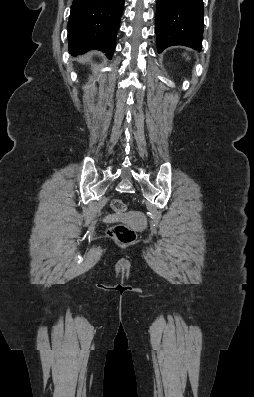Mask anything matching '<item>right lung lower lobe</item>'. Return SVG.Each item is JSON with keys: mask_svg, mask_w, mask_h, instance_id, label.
I'll return each instance as SVG.
<instances>
[{"mask_svg": "<svg viewBox=\"0 0 254 397\" xmlns=\"http://www.w3.org/2000/svg\"><path fill=\"white\" fill-rule=\"evenodd\" d=\"M125 0H73L68 23L69 52L101 50L111 59Z\"/></svg>", "mask_w": 254, "mask_h": 397, "instance_id": "1", "label": "right lung lower lobe"}]
</instances>
